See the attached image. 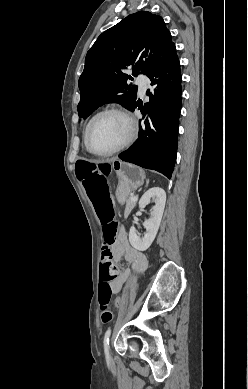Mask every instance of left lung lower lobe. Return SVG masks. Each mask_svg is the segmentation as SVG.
Returning <instances> with one entry per match:
<instances>
[{
  "label": "left lung lower lobe",
  "instance_id": "obj_1",
  "mask_svg": "<svg viewBox=\"0 0 248 389\" xmlns=\"http://www.w3.org/2000/svg\"><path fill=\"white\" fill-rule=\"evenodd\" d=\"M146 76L154 87L147 90L150 101L143 107V124L136 142L119 155L123 161L156 170L169 179L177 155L179 115L181 111V73L175 44L150 68Z\"/></svg>",
  "mask_w": 248,
  "mask_h": 389
}]
</instances>
